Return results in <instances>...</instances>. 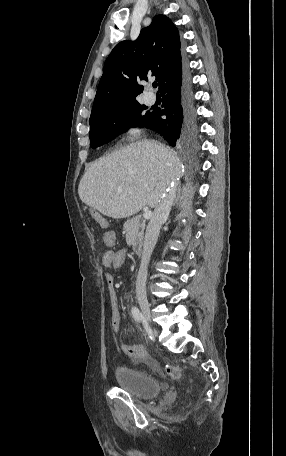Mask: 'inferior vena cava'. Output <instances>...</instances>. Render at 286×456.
Segmentation results:
<instances>
[{"instance_id": "1", "label": "inferior vena cava", "mask_w": 286, "mask_h": 456, "mask_svg": "<svg viewBox=\"0 0 286 456\" xmlns=\"http://www.w3.org/2000/svg\"><path fill=\"white\" fill-rule=\"evenodd\" d=\"M175 189L169 187L161 191L159 201L154 209L152 218L150 219L145 233L144 245L141 256V264L136 279V295L146 296V281L148 273V264L157 243L160 228L167 220L171 206L175 198Z\"/></svg>"}]
</instances>
